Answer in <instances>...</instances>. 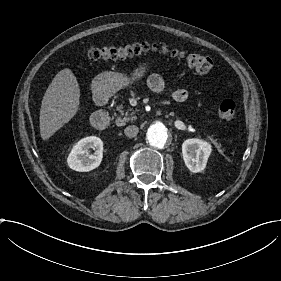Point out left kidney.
Returning <instances> with one entry per match:
<instances>
[{
  "label": "left kidney",
  "instance_id": "1",
  "mask_svg": "<svg viewBox=\"0 0 281 281\" xmlns=\"http://www.w3.org/2000/svg\"><path fill=\"white\" fill-rule=\"evenodd\" d=\"M211 149L209 144L198 139H188L182 145V154L185 165L191 172H200L204 169Z\"/></svg>",
  "mask_w": 281,
  "mask_h": 281
}]
</instances>
